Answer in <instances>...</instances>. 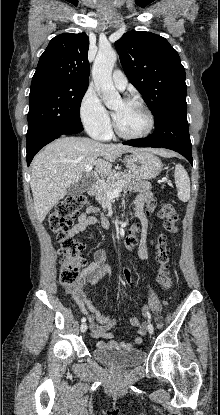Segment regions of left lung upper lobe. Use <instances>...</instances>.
<instances>
[{
	"instance_id": "1",
	"label": "left lung upper lobe",
	"mask_w": 220,
	"mask_h": 415,
	"mask_svg": "<svg viewBox=\"0 0 220 415\" xmlns=\"http://www.w3.org/2000/svg\"><path fill=\"white\" fill-rule=\"evenodd\" d=\"M123 70L154 120L186 104L185 70L177 51L154 33L130 31L115 42Z\"/></svg>"
}]
</instances>
